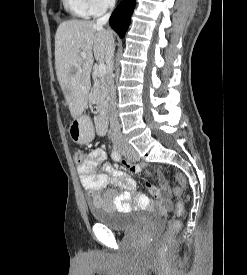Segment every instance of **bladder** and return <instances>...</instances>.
<instances>
[{"label": "bladder", "instance_id": "obj_1", "mask_svg": "<svg viewBox=\"0 0 247 275\" xmlns=\"http://www.w3.org/2000/svg\"><path fill=\"white\" fill-rule=\"evenodd\" d=\"M89 211L97 224H101L113 231L127 232L136 225L154 226L161 221L159 214L142 212L139 218L135 219L134 212H113L107 209L89 205Z\"/></svg>", "mask_w": 247, "mask_h": 275}]
</instances>
